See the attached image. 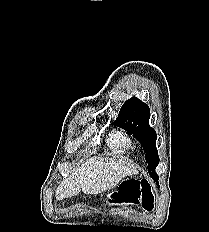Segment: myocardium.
Here are the masks:
<instances>
[{"mask_svg":"<svg viewBox=\"0 0 209 232\" xmlns=\"http://www.w3.org/2000/svg\"><path fill=\"white\" fill-rule=\"evenodd\" d=\"M119 140L123 147L129 148L132 145L131 138L125 133H119Z\"/></svg>","mask_w":209,"mask_h":232,"instance_id":"myocardium-1","label":"myocardium"}]
</instances>
